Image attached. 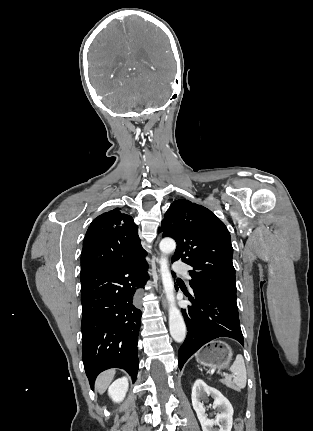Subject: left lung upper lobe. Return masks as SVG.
<instances>
[{
    "instance_id": "5c2ea615",
    "label": "left lung upper lobe",
    "mask_w": 313,
    "mask_h": 431,
    "mask_svg": "<svg viewBox=\"0 0 313 431\" xmlns=\"http://www.w3.org/2000/svg\"><path fill=\"white\" fill-rule=\"evenodd\" d=\"M159 232L177 243L172 262L182 259L193 267L189 271L193 290L236 297L231 236L213 212L185 199L176 200L167 210Z\"/></svg>"
}]
</instances>
